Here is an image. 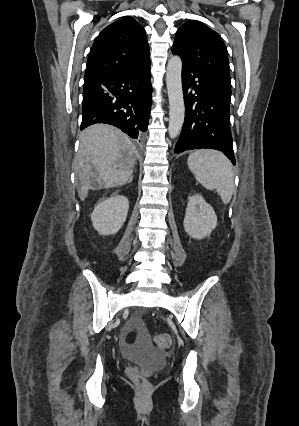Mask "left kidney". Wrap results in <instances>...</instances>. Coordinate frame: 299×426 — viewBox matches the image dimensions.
I'll return each mask as SVG.
<instances>
[{
  "label": "left kidney",
  "mask_w": 299,
  "mask_h": 426,
  "mask_svg": "<svg viewBox=\"0 0 299 426\" xmlns=\"http://www.w3.org/2000/svg\"><path fill=\"white\" fill-rule=\"evenodd\" d=\"M183 226L185 232L195 239L210 235L217 226V216L202 196L188 197Z\"/></svg>",
  "instance_id": "obj_1"
}]
</instances>
